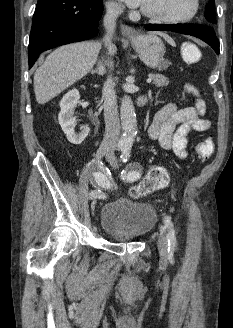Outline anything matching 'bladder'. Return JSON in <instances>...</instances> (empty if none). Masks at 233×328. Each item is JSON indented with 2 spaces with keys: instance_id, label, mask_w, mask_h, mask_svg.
Returning a JSON list of instances; mask_svg holds the SVG:
<instances>
[{
  "instance_id": "obj_1",
  "label": "bladder",
  "mask_w": 233,
  "mask_h": 328,
  "mask_svg": "<svg viewBox=\"0 0 233 328\" xmlns=\"http://www.w3.org/2000/svg\"><path fill=\"white\" fill-rule=\"evenodd\" d=\"M99 220L103 232L108 236L133 240L150 231L157 218L151 204L116 197L102 206Z\"/></svg>"
}]
</instances>
